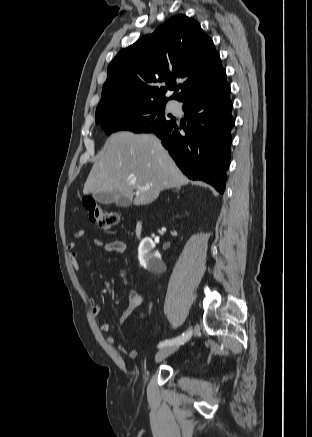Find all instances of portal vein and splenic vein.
Segmentation results:
<instances>
[{"instance_id":"portal-vein-and-splenic-vein-1","label":"portal vein and splenic vein","mask_w":312,"mask_h":437,"mask_svg":"<svg viewBox=\"0 0 312 437\" xmlns=\"http://www.w3.org/2000/svg\"><path fill=\"white\" fill-rule=\"evenodd\" d=\"M136 183V181L133 179V180H130V184H135ZM150 187H148V186H146V187H141L140 189H142V190H147V189H149Z\"/></svg>"}]
</instances>
